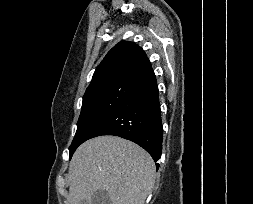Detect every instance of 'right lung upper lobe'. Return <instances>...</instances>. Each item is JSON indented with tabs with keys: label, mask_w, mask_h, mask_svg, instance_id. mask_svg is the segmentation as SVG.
<instances>
[{
	"label": "right lung upper lobe",
	"mask_w": 253,
	"mask_h": 204,
	"mask_svg": "<svg viewBox=\"0 0 253 204\" xmlns=\"http://www.w3.org/2000/svg\"><path fill=\"white\" fill-rule=\"evenodd\" d=\"M152 71L142 48L133 42L121 41L107 53L96 68L86 92L119 81L139 82Z\"/></svg>",
	"instance_id": "cb5924a9"
}]
</instances>
